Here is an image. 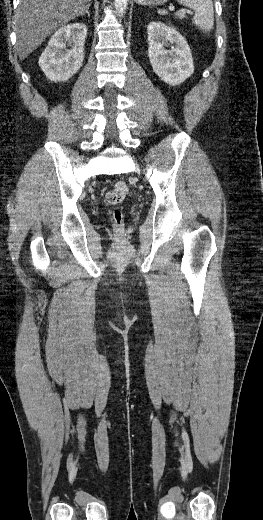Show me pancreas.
<instances>
[{
	"label": "pancreas",
	"mask_w": 263,
	"mask_h": 520,
	"mask_svg": "<svg viewBox=\"0 0 263 520\" xmlns=\"http://www.w3.org/2000/svg\"><path fill=\"white\" fill-rule=\"evenodd\" d=\"M176 16H177V18H179V19L185 18V11H184V12H183V11L178 12V13L176 14Z\"/></svg>",
	"instance_id": "pancreas-1"
}]
</instances>
